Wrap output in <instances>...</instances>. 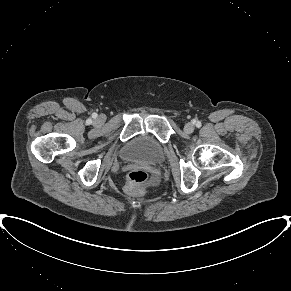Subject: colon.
I'll list each match as a JSON object with an SVG mask.
<instances>
[{
    "label": "colon",
    "instance_id": "1",
    "mask_svg": "<svg viewBox=\"0 0 291 291\" xmlns=\"http://www.w3.org/2000/svg\"><path fill=\"white\" fill-rule=\"evenodd\" d=\"M148 180V174L143 170H131L127 174L126 191L133 196H140L144 192V184Z\"/></svg>",
    "mask_w": 291,
    "mask_h": 291
}]
</instances>
